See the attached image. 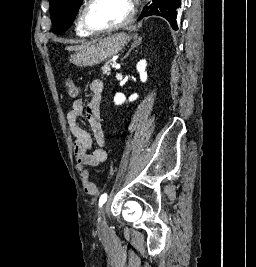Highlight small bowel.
Wrapping results in <instances>:
<instances>
[{
    "label": "small bowel",
    "mask_w": 256,
    "mask_h": 267,
    "mask_svg": "<svg viewBox=\"0 0 256 267\" xmlns=\"http://www.w3.org/2000/svg\"><path fill=\"white\" fill-rule=\"evenodd\" d=\"M103 81L92 79L89 83L90 99L84 108L82 99H76L72 103L71 110L67 114V123L73 137V151L78 169L83 166H97L107 160L108 153L104 148L105 138L100 120V105L103 92ZM86 116L96 147L93 148V138L78 125V121Z\"/></svg>",
    "instance_id": "c3829d8e"
}]
</instances>
